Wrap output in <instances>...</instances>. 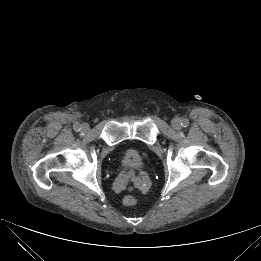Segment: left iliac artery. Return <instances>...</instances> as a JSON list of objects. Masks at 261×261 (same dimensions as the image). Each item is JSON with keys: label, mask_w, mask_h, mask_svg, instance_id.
Segmentation results:
<instances>
[{"label": "left iliac artery", "mask_w": 261, "mask_h": 261, "mask_svg": "<svg viewBox=\"0 0 261 261\" xmlns=\"http://www.w3.org/2000/svg\"><path fill=\"white\" fill-rule=\"evenodd\" d=\"M181 125L183 127H187L189 125V120L188 119H183Z\"/></svg>", "instance_id": "obj_1"}]
</instances>
